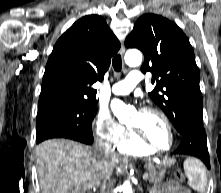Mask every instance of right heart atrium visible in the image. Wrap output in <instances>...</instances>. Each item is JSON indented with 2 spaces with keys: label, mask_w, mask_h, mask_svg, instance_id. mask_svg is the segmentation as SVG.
<instances>
[{
  "label": "right heart atrium",
  "mask_w": 221,
  "mask_h": 193,
  "mask_svg": "<svg viewBox=\"0 0 221 193\" xmlns=\"http://www.w3.org/2000/svg\"><path fill=\"white\" fill-rule=\"evenodd\" d=\"M93 127L97 139L110 146L117 145L127 134L126 128L105 110H100L97 113Z\"/></svg>",
  "instance_id": "obj_1"
}]
</instances>
